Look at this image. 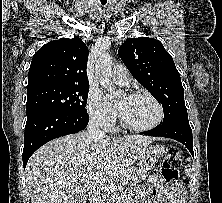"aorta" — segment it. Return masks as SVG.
Listing matches in <instances>:
<instances>
[{
    "mask_svg": "<svg viewBox=\"0 0 222 203\" xmlns=\"http://www.w3.org/2000/svg\"><path fill=\"white\" fill-rule=\"evenodd\" d=\"M111 69L112 59L108 54L103 53L96 61L95 73L100 85L106 89L107 92H109L108 97L110 98L118 94V91L115 90L114 86L112 85Z\"/></svg>",
    "mask_w": 222,
    "mask_h": 203,
    "instance_id": "obj_1",
    "label": "aorta"
}]
</instances>
